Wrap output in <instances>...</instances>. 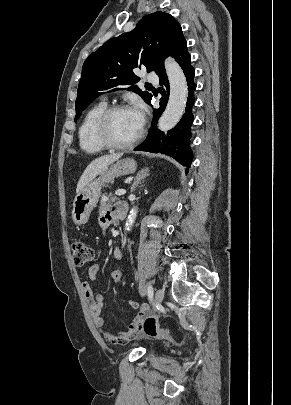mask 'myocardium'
I'll list each match as a JSON object with an SVG mask.
<instances>
[{"label": "myocardium", "instance_id": "1", "mask_svg": "<svg viewBox=\"0 0 291 405\" xmlns=\"http://www.w3.org/2000/svg\"><path fill=\"white\" fill-rule=\"evenodd\" d=\"M130 109L129 106L125 104H115L107 107L99 116L96 123V135L98 140L107 148L125 150L130 149L135 146L143 136V129L140 128L138 134L129 142L120 143L115 141L111 136L110 123L112 117L120 111Z\"/></svg>", "mask_w": 291, "mask_h": 405}]
</instances>
